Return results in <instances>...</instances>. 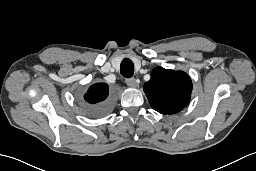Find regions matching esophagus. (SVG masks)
<instances>
[{
  "instance_id": "esophagus-1",
  "label": "esophagus",
  "mask_w": 256,
  "mask_h": 171,
  "mask_svg": "<svg viewBox=\"0 0 256 171\" xmlns=\"http://www.w3.org/2000/svg\"><path fill=\"white\" fill-rule=\"evenodd\" d=\"M126 84L130 87H136L137 86V82L134 78L126 79Z\"/></svg>"
}]
</instances>
